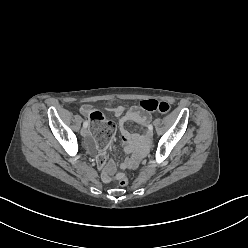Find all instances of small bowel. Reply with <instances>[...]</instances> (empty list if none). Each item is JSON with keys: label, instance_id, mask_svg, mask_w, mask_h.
Instances as JSON below:
<instances>
[{"label": "small bowel", "instance_id": "c3829d8e", "mask_svg": "<svg viewBox=\"0 0 248 248\" xmlns=\"http://www.w3.org/2000/svg\"><path fill=\"white\" fill-rule=\"evenodd\" d=\"M116 117H120L119 127L122 140L125 143V151L127 153L134 152L132 158L128 159L120 165L121 168H136L142 158L146 149V138L143 135L131 133L127 130L126 124L128 122H134L140 126L146 127L151 122V115L142 110L139 106H132L131 108H126L124 106H116L112 109ZM80 112L90 117L91 113L94 112L90 104H84L80 107ZM86 145L90 150H94L96 147L94 145V139L92 135H89L86 139ZM115 170V165L110 162L107 167L102 172V178L105 182L112 181V173Z\"/></svg>", "mask_w": 248, "mask_h": 248}]
</instances>
